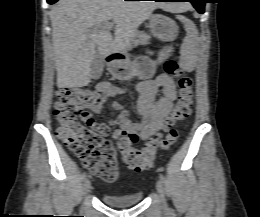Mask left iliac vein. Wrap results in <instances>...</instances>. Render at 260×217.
<instances>
[{
    "instance_id": "obj_1",
    "label": "left iliac vein",
    "mask_w": 260,
    "mask_h": 217,
    "mask_svg": "<svg viewBox=\"0 0 260 217\" xmlns=\"http://www.w3.org/2000/svg\"><path fill=\"white\" fill-rule=\"evenodd\" d=\"M156 189H157V192L159 194L162 205L165 206L164 186H163V183L160 180H158L157 183H156Z\"/></svg>"
}]
</instances>
